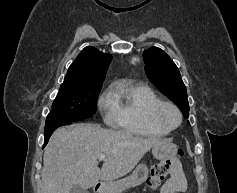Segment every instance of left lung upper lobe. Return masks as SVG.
I'll use <instances>...</instances> for the list:
<instances>
[{
  "label": "left lung upper lobe",
  "instance_id": "5c2ea615",
  "mask_svg": "<svg viewBox=\"0 0 237 193\" xmlns=\"http://www.w3.org/2000/svg\"><path fill=\"white\" fill-rule=\"evenodd\" d=\"M145 72L150 81L171 99L188 118L189 104L186 87L171 58L160 48L151 47L143 52Z\"/></svg>",
  "mask_w": 237,
  "mask_h": 193
}]
</instances>
